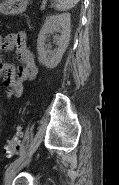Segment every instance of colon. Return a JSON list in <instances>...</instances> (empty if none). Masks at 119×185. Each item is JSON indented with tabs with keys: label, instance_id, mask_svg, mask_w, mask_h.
Instances as JSON below:
<instances>
[{
	"label": "colon",
	"instance_id": "5ec220e1",
	"mask_svg": "<svg viewBox=\"0 0 119 185\" xmlns=\"http://www.w3.org/2000/svg\"><path fill=\"white\" fill-rule=\"evenodd\" d=\"M21 128H17L14 135L7 141L5 145V153L8 158L14 157L20 149Z\"/></svg>",
	"mask_w": 119,
	"mask_h": 185
}]
</instances>
